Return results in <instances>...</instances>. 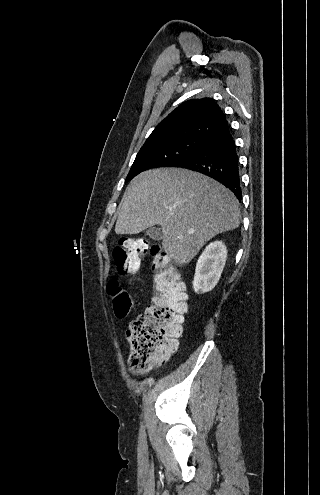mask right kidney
I'll use <instances>...</instances> for the list:
<instances>
[{
  "label": "right kidney",
  "instance_id": "obj_1",
  "mask_svg": "<svg viewBox=\"0 0 320 495\" xmlns=\"http://www.w3.org/2000/svg\"><path fill=\"white\" fill-rule=\"evenodd\" d=\"M227 259V248L221 241L210 243L199 257L193 289L196 293H207L217 285L225 262Z\"/></svg>",
  "mask_w": 320,
  "mask_h": 495
}]
</instances>
